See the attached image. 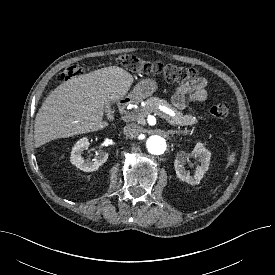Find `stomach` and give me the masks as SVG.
<instances>
[{"label": "stomach", "instance_id": "1", "mask_svg": "<svg viewBox=\"0 0 275 275\" xmlns=\"http://www.w3.org/2000/svg\"><path fill=\"white\" fill-rule=\"evenodd\" d=\"M157 90V83L155 80L146 79L138 82L133 88L130 97L134 100H142L151 96Z\"/></svg>", "mask_w": 275, "mask_h": 275}]
</instances>
